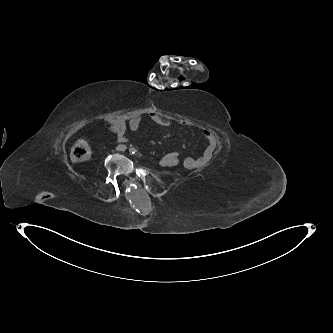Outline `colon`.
I'll use <instances>...</instances> for the list:
<instances>
[{"label":"colon","instance_id":"1","mask_svg":"<svg viewBox=\"0 0 333 333\" xmlns=\"http://www.w3.org/2000/svg\"><path fill=\"white\" fill-rule=\"evenodd\" d=\"M92 150L89 143L86 140H78L71 148V159L73 162H84L91 158ZM179 153L177 151L168 152L161 157L162 163L178 159Z\"/></svg>","mask_w":333,"mask_h":333}]
</instances>
